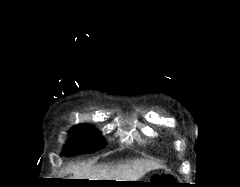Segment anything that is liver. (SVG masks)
<instances>
[{
    "mask_svg": "<svg viewBox=\"0 0 240 187\" xmlns=\"http://www.w3.org/2000/svg\"><path fill=\"white\" fill-rule=\"evenodd\" d=\"M160 168L154 161L135 159L116 166L70 164L64 173H73V179L137 181L147 172Z\"/></svg>",
    "mask_w": 240,
    "mask_h": 187,
    "instance_id": "1",
    "label": "liver"
}]
</instances>
